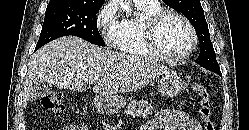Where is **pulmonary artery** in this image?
I'll return each instance as SVG.
<instances>
[{"label":"pulmonary artery","instance_id":"e3ab8cb5","mask_svg":"<svg viewBox=\"0 0 249 130\" xmlns=\"http://www.w3.org/2000/svg\"><path fill=\"white\" fill-rule=\"evenodd\" d=\"M136 1H143L148 3H159L158 0H136Z\"/></svg>","mask_w":249,"mask_h":130}]
</instances>
